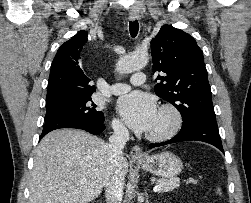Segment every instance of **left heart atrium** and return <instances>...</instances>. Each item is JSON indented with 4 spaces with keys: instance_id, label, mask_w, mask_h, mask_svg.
Here are the masks:
<instances>
[{
    "instance_id": "39dd6f15",
    "label": "left heart atrium",
    "mask_w": 251,
    "mask_h": 203,
    "mask_svg": "<svg viewBox=\"0 0 251 203\" xmlns=\"http://www.w3.org/2000/svg\"><path fill=\"white\" fill-rule=\"evenodd\" d=\"M118 111L127 125L137 132H148L157 118L154 98L146 93L131 92L118 100Z\"/></svg>"
}]
</instances>
